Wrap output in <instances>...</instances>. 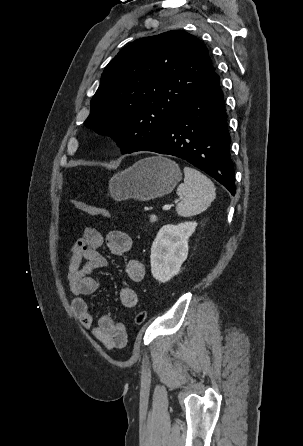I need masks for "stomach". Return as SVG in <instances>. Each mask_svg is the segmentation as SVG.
I'll use <instances>...</instances> for the list:
<instances>
[{
	"instance_id": "stomach-1",
	"label": "stomach",
	"mask_w": 303,
	"mask_h": 446,
	"mask_svg": "<svg viewBox=\"0 0 303 446\" xmlns=\"http://www.w3.org/2000/svg\"><path fill=\"white\" fill-rule=\"evenodd\" d=\"M181 179L177 163L162 156H152L115 174L110 179L109 192L116 201H147L171 193Z\"/></svg>"
}]
</instances>
